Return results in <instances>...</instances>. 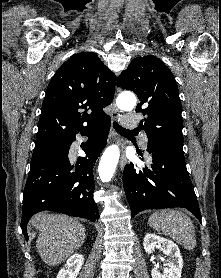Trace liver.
<instances>
[{
    "instance_id": "obj_1",
    "label": "liver",
    "mask_w": 221,
    "mask_h": 278,
    "mask_svg": "<svg viewBox=\"0 0 221 278\" xmlns=\"http://www.w3.org/2000/svg\"><path fill=\"white\" fill-rule=\"evenodd\" d=\"M31 224L39 231L37 252L47 265H58L79 249L85 241V228L77 220L51 213H38Z\"/></svg>"
}]
</instances>
